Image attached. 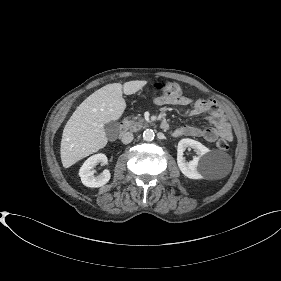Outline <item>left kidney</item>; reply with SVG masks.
Masks as SVG:
<instances>
[{
	"label": "left kidney",
	"instance_id": "5707ae66",
	"mask_svg": "<svg viewBox=\"0 0 281 281\" xmlns=\"http://www.w3.org/2000/svg\"><path fill=\"white\" fill-rule=\"evenodd\" d=\"M186 148L194 149L198 156L187 162L183 157V152ZM177 151V163L180 171L190 179L203 178L208 161L206 154L210 150L200 142L186 138L179 141Z\"/></svg>",
	"mask_w": 281,
	"mask_h": 281
}]
</instances>
